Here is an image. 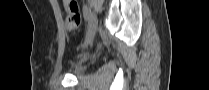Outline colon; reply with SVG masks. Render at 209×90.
<instances>
[{
    "label": "colon",
    "mask_w": 209,
    "mask_h": 90,
    "mask_svg": "<svg viewBox=\"0 0 209 90\" xmlns=\"http://www.w3.org/2000/svg\"><path fill=\"white\" fill-rule=\"evenodd\" d=\"M64 4L68 12L66 27L69 31H76L81 26V13L79 6L74 0H64Z\"/></svg>",
    "instance_id": "colon-1"
}]
</instances>
